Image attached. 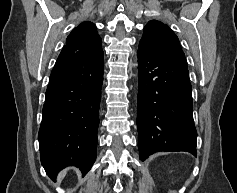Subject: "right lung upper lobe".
<instances>
[{"mask_svg":"<svg viewBox=\"0 0 237 193\" xmlns=\"http://www.w3.org/2000/svg\"><path fill=\"white\" fill-rule=\"evenodd\" d=\"M101 43L96 26L85 21L69 34L61 52L79 57H95L103 54Z\"/></svg>","mask_w":237,"mask_h":193,"instance_id":"1","label":"right lung upper lobe"}]
</instances>
